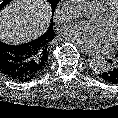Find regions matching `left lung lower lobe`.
I'll return each instance as SVG.
<instances>
[{
  "mask_svg": "<svg viewBox=\"0 0 118 118\" xmlns=\"http://www.w3.org/2000/svg\"><path fill=\"white\" fill-rule=\"evenodd\" d=\"M107 62L109 66L99 76L108 83L118 84V54Z\"/></svg>",
  "mask_w": 118,
  "mask_h": 118,
  "instance_id": "1",
  "label": "left lung lower lobe"
}]
</instances>
